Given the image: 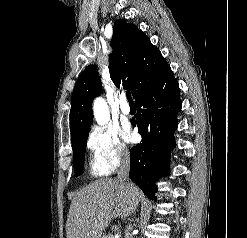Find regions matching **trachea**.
Returning <instances> with one entry per match:
<instances>
[{"mask_svg": "<svg viewBox=\"0 0 247 238\" xmlns=\"http://www.w3.org/2000/svg\"><path fill=\"white\" fill-rule=\"evenodd\" d=\"M126 96H127V99H128V101H129V103H133V100H132L131 92H130V91H127V92H126Z\"/></svg>", "mask_w": 247, "mask_h": 238, "instance_id": "trachea-1", "label": "trachea"}]
</instances>
